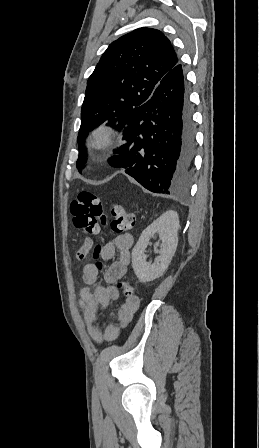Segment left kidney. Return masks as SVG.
Masks as SVG:
<instances>
[{"mask_svg":"<svg viewBox=\"0 0 259 448\" xmlns=\"http://www.w3.org/2000/svg\"><path fill=\"white\" fill-rule=\"evenodd\" d=\"M178 228L179 218L177 212L168 210L142 232L139 242L132 250V266L140 282H153L156 278L163 276L176 252ZM156 232H158L162 244L160 246L161 250L158 252L160 256H157L154 264L151 266V264L146 262L144 250H146L150 238H153Z\"/></svg>","mask_w":259,"mask_h":448,"instance_id":"obj_1","label":"left kidney"}]
</instances>
